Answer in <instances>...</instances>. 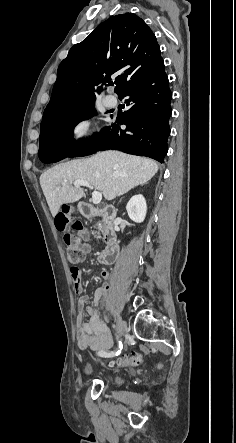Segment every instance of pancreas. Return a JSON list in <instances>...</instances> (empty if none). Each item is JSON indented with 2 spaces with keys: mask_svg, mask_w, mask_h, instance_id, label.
Listing matches in <instances>:
<instances>
[{
  "mask_svg": "<svg viewBox=\"0 0 236 443\" xmlns=\"http://www.w3.org/2000/svg\"><path fill=\"white\" fill-rule=\"evenodd\" d=\"M94 228H96V229H98V231L96 230V231H92V235L95 237V238H100V231H102V228L101 227H96V226H94Z\"/></svg>",
  "mask_w": 236,
  "mask_h": 443,
  "instance_id": "pancreas-1",
  "label": "pancreas"
}]
</instances>
